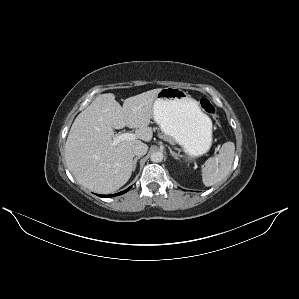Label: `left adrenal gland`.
Instances as JSON below:
<instances>
[{
	"label": "left adrenal gland",
	"mask_w": 299,
	"mask_h": 299,
	"mask_svg": "<svg viewBox=\"0 0 299 299\" xmlns=\"http://www.w3.org/2000/svg\"><path fill=\"white\" fill-rule=\"evenodd\" d=\"M169 151H170V154L174 157V158H177L178 157V154L174 151H172V149L169 147Z\"/></svg>",
	"instance_id": "1"
}]
</instances>
